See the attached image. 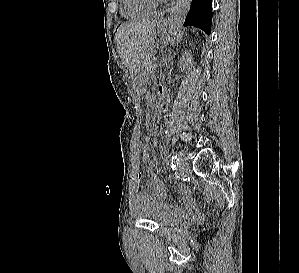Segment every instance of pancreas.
<instances>
[{
	"label": "pancreas",
	"mask_w": 299,
	"mask_h": 273,
	"mask_svg": "<svg viewBox=\"0 0 299 273\" xmlns=\"http://www.w3.org/2000/svg\"><path fill=\"white\" fill-rule=\"evenodd\" d=\"M156 69V65L154 64V60L152 58V54H148L142 64L143 76L145 78L150 77Z\"/></svg>",
	"instance_id": "1"
}]
</instances>
